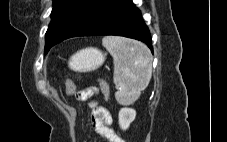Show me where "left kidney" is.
<instances>
[{
	"mask_svg": "<svg viewBox=\"0 0 227 142\" xmlns=\"http://www.w3.org/2000/svg\"><path fill=\"white\" fill-rule=\"evenodd\" d=\"M136 111L132 108L124 107L119 111V125L122 130H126L129 128L130 123L135 120Z\"/></svg>",
	"mask_w": 227,
	"mask_h": 142,
	"instance_id": "5707ae66",
	"label": "left kidney"
}]
</instances>
